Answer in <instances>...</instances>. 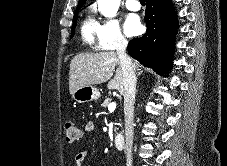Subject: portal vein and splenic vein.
I'll use <instances>...</instances> for the list:
<instances>
[{"mask_svg":"<svg viewBox=\"0 0 227 166\" xmlns=\"http://www.w3.org/2000/svg\"><path fill=\"white\" fill-rule=\"evenodd\" d=\"M116 109V103L112 102L108 105V110L109 111H114Z\"/></svg>","mask_w":227,"mask_h":166,"instance_id":"18ae733b","label":"portal vein and splenic vein"}]
</instances>
